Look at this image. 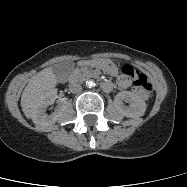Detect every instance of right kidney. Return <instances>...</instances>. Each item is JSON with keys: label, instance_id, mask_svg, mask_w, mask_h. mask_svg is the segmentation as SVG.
Listing matches in <instances>:
<instances>
[{"label": "right kidney", "instance_id": "obj_1", "mask_svg": "<svg viewBox=\"0 0 187 187\" xmlns=\"http://www.w3.org/2000/svg\"><path fill=\"white\" fill-rule=\"evenodd\" d=\"M56 93V90H51L46 94L43 106L39 108L36 117L33 120L37 125L42 127H49L54 124L61 116L64 110L62 107L55 109L54 112L50 115L45 114L46 107L54 103Z\"/></svg>", "mask_w": 187, "mask_h": 187}]
</instances>
